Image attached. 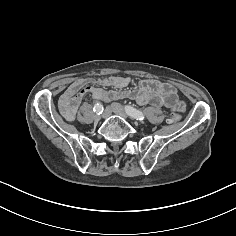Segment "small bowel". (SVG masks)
<instances>
[{"label":"small bowel","mask_w":236,"mask_h":236,"mask_svg":"<svg viewBox=\"0 0 236 236\" xmlns=\"http://www.w3.org/2000/svg\"><path fill=\"white\" fill-rule=\"evenodd\" d=\"M93 83L99 86H94ZM130 83V78L123 76L102 77L97 80L77 79L60 97L61 112L66 120H73L86 94H91L93 98L103 101L128 97L140 105L164 106L179 112L185 110V104L178 100L175 88L168 83L156 79H144L137 87L128 88ZM105 87H111L112 90H106Z\"/></svg>","instance_id":"small-bowel-1"}]
</instances>
